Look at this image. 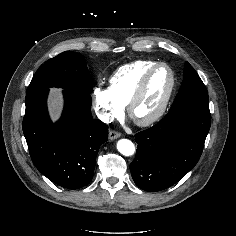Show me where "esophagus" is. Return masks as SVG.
Returning a JSON list of instances; mask_svg holds the SVG:
<instances>
[{"instance_id":"1","label":"esophagus","mask_w":236,"mask_h":236,"mask_svg":"<svg viewBox=\"0 0 236 236\" xmlns=\"http://www.w3.org/2000/svg\"><path fill=\"white\" fill-rule=\"evenodd\" d=\"M120 136H121V134H120L119 132H117V131L111 130V131L109 132V139H110V140L117 139V138H119Z\"/></svg>"}]
</instances>
